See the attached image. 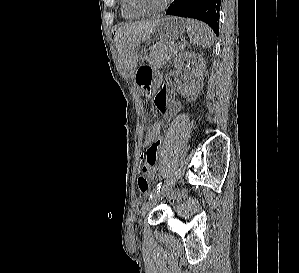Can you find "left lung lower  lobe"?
<instances>
[{
  "instance_id": "obj_1",
  "label": "left lung lower lobe",
  "mask_w": 299,
  "mask_h": 273,
  "mask_svg": "<svg viewBox=\"0 0 299 273\" xmlns=\"http://www.w3.org/2000/svg\"><path fill=\"white\" fill-rule=\"evenodd\" d=\"M220 3L221 0H174L166 14L201 20L218 36Z\"/></svg>"
}]
</instances>
